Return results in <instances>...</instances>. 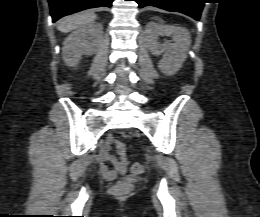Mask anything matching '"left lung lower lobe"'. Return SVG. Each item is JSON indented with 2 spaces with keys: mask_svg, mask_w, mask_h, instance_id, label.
<instances>
[{
  "mask_svg": "<svg viewBox=\"0 0 260 217\" xmlns=\"http://www.w3.org/2000/svg\"><path fill=\"white\" fill-rule=\"evenodd\" d=\"M139 8L154 6L167 11L180 12L199 20L205 0H135Z\"/></svg>",
  "mask_w": 260,
  "mask_h": 217,
  "instance_id": "obj_1",
  "label": "left lung lower lobe"
}]
</instances>
